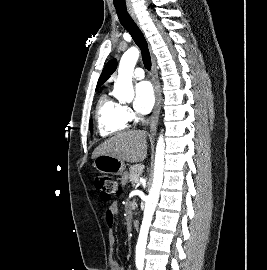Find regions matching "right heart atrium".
<instances>
[{
  "label": "right heart atrium",
  "mask_w": 267,
  "mask_h": 270,
  "mask_svg": "<svg viewBox=\"0 0 267 270\" xmlns=\"http://www.w3.org/2000/svg\"><path fill=\"white\" fill-rule=\"evenodd\" d=\"M123 114L128 120H132L135 117L133 112L127 106H123Z\"/></svg>",
  "instance_id": "d8ad5b80"
}]
</instances>
